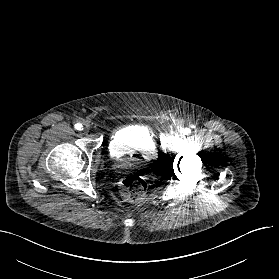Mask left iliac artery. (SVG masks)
<instances>
[{
    "label": "left iliac artery",
    "mask_w": 279,
    "mask_h": 279,
    "mask_svg": "<svg viewBox=\"0 0 279 279\" xmlns=\"http://www.w3.org/2000/svg\"><path fill=\"white\" fill-rule=\"evenodd\" d=\"M190 131H191V130H190L189 128H185V129H184V134H185V135H188V134L190 133Z\"/></svg>",
    "instance_id": "1"
}]
</instances>
